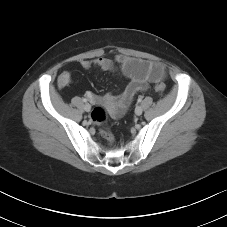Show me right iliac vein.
<instances>
[{"mask_svg":"<svg viewBox=\"0 0 227 227\" xmlns=\"http://www.w3.org/2000/svg\"><path fill=\"white\" fill-rule=\"evenodd\" d=\"M84 110H85L86 112H89V111L91 110V106H90L89 104H85V105H84Z\"/></svg>","mask_w":227,"mask_h":227,"instance_id":"1","label":"right iliac vein"}]
</instances>
